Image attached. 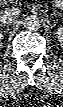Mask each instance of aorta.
<instances>
[{"instance_id":"obj_1","label":"aorta","mask_w":63,"mask_h":107,"mask_svg":"<svg viewBox=\"0 0 63 107\" xmlns=\"http://www.w3.org/2000/svg\"><path fill=\"white\" fill-rule=\"evenodd\" d=\"M23 25L29 31H36L40 28L41 22L36 15H30L25 17Z\"/></svg>"}]
</instances>
